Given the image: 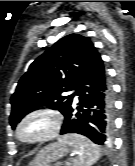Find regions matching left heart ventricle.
Instances as JSON below:
<instances>
[{
	"label": "left heart ventricle",
	"instance_id": "1",
	"mask_svg": "<svg viewBox=\"0 0 135 166\" xmlns=\"http://www.w3.org/2000/svg\"><path fill=\"white\" fill-rule=\"evenodd\" d=\"M49 128V120L46 117H35L31 119L22 129V136L35 138L44 134Z\"/></svg>",
	"mask_w": 135,
	"mask_h": 166
}]
</instances>
